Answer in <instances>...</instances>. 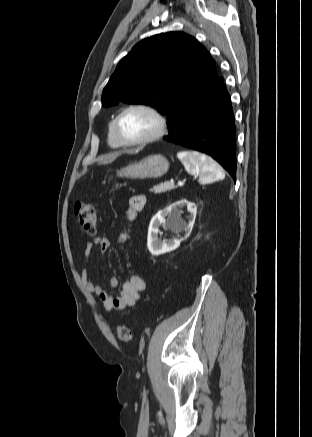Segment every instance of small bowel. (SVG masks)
<instances>
[{
	"instance_id": "1",
	"label": "small bowel",
	"mask_w": 312,
	"mask_h": 437,
	"mask_svg": "<svg viewBox=\"0 0 312 437\" xmlns=\"http://www.w3.org/2000/svg\"><path fill=\"white\" fill-rule=\"evenodd\" d=\"M145 205L146 197L144 195L132 196L129 199L126 211L128 219L134 220ZM127 238V233H121L118 238L119 244H124ZM111 246L112 242L107 237H97L93 242L87 243L85 248L86 263L89 261L94 249H97L100 253H105ZM82 282L90 293L95 294L100 299L107 312L120 311L134 306L139 299L140 293L145 290V282L142 277L133 275L124 282L120 293L117 296H113L106 288L94 282L87 266L82 272ZM117 283L118 281L115 277L109 279L111 288H115Z\"/></svg>"
}]
</instances>
